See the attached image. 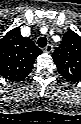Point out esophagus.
Here are the masks:
<instances>
[{
	"instance_id": "obj_1",
	"label": "esophagus",
	"mask_w": 81,
	"mask_h": 124,
	"mask_svg": "<svg viewBox=\"0 0 81 124\" xmlns=\"http://www.w3.org/2000/svg\"><path fill=\"white\" fill-rule=\"evenodd\" d=\"M53 51V46L52 44H48L45 48H44V52L46 53H51Z\"/></svg>"
}]
</instances>
